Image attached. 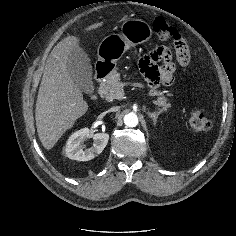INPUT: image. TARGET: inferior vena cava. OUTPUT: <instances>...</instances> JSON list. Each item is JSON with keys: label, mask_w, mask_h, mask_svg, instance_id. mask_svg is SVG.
Wrapping results in <instances>:
<instances>
[{"label": "inferior vena cava", "mask_w": 236, "mask_h": 236, "mask_svg": "<svg viewBox=\"0 0 236 236\" xmlns=\"http://www.w3.org/2000/svg\"><path fill=\"white\" fill-rule=\"evenodd\" d=\"M118 110H119V106H114V107L109 109V111H111V112H116Z\"/></svg>", "instance_id": "obj_1"}]
</instances>
